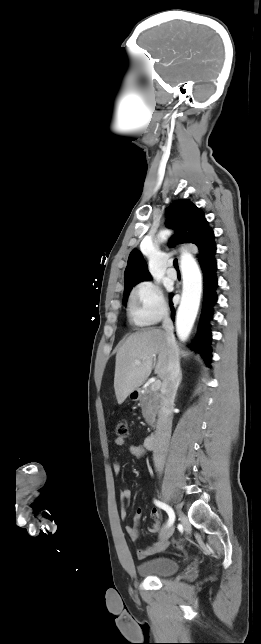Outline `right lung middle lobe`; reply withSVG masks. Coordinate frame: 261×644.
<instances>
[{"instance_id":"1","label":"right lung middle lobe","mask_w":261,"mask_h":644,"mask_svg":"<svg viewBox=\"0 0 261 644\" xmlns=\"http://www.w3.org/2000/svg\"><path fill=\"white\" fill-rule=\"evenodd\" d=\"M134 285H136V284H133V285H131L129 288H127V289H125V290H124V295H123V304H124V305H126V302H127V298H128L129 292H130V290L132 289V287H133Z\"/></svg>"}]
</instances>
